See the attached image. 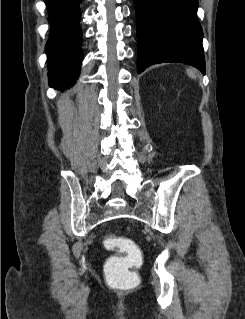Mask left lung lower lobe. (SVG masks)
Segmentation results:
<instances>
[{
    "label": "left lung lower lobe",
    "mask_w": 245,
    "mask_h": 319,
    "mask_svg": "<svg viewBox=\"0 0 245 319\" xmlns=\"http://www.w3.org/2000/svg\"><path fill=\"white\" fill-rule=\"evenodd\" d=\"M135 7L138 73L152 64L181 62L205 74L198 0H135Z\"/></svg>",
    "instance_id": "1"
}]
</instances>
